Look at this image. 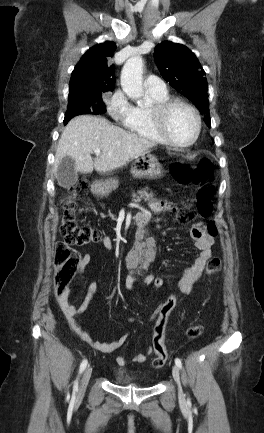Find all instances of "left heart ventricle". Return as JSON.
I'll use <instances>...</instances> for the list:
<instances>
[{
    "mask_svg": "<svg viewBox=\"0 0 264 433\" xmlns=\"http://www.w3.org/2000/svg\"><path fill=\"white\" fill-rule=\"evenodd\" d=\"M196 123L193 114L185 107H176L168 117L170 136L179 143L188 142L194 135Z\"/></svg>",
    "mask_w": 264,
    "mask_h": 433,
    "instance_id": "b2bd125f",
    "label": "left heart ventricle"
}]
</instances>
